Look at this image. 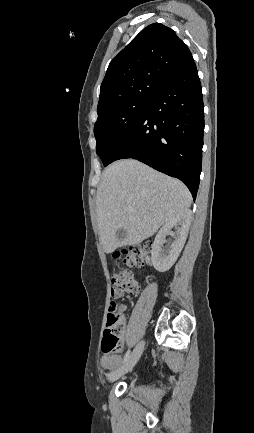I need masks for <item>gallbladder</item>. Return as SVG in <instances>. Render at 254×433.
<instances>
[{"mask_svg":"<svg viewBox=\"0 0 254 433\" xmlns=\"http://www.w3.org/2000/svg\"><path fill=\"white\" fill-rule=\"evenodd\" d=\"M126 236H127V232L124 229H119L116 232V237H117L118 240L124 239Z\"/></svg>","mask_w":254,"mask_h":433,"instance_id":"bac80fb5","label":"gallbladder"}]
</instances>
